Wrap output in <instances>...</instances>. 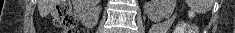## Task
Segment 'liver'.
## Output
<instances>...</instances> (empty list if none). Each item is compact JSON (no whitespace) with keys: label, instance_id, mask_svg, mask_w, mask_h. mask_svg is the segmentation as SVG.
I'll use <instances>...</instances> for the list:
<instances>
[{"label":"liver","instance_id":"liver-1","mask_svg":"<svg viewBox=\"0 0 235 33\" xmlns=\"http://www.w3.org/2000/svg\"><path fill=\"white\" fill-rule=\"evenodd\" d=\"M51 0H38V10L42 16H47L52 8Z\"/></svg>","mask_w":235,"mask_h":33}]
</instances>
